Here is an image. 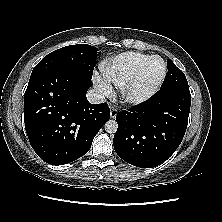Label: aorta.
<instances>
[{"label": "aorta", "mask_w": 222, "mask_h": 222, "mask_svg": "<svg viewBox=\"0 0 222 222\" xmlns=\"http://www.w3.org/2000/svg\"><path fill=\"white\" fill-rule=\"evenodd\" d=\"M118 123L115 120H109L105 123V130L109 134H114L117 132Z\"/></svg>", "instance_id": "762f6f07"}]
</instances>
